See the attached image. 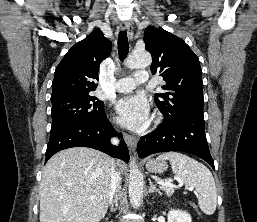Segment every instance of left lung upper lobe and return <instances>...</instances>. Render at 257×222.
I'll return each instance as SVG.
<instances>
[{"label":"left lung upper lobe","mask_w":257,"mask_h":222,"mask_svg":"<svg viewBox=\"0 0 257 222\" xmlns=\"http://www.w3.org/2000/svg\"><path fill=\"white\" fill-rule=\"evenodd\" d=\"M144 42L152 55V74L159 72L166 82L162 86L166 92L154 95L164 118H203V82L198 57L182 39L162 28L147 27Z\"/></svg>","instance_id":"left-lung-upper-lobe-1"}]
</instances>
